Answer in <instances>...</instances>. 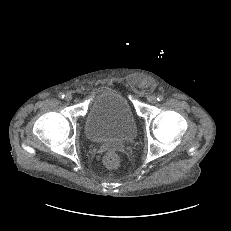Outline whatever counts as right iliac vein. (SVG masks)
<instances>
[{"label": "right iliac vein", "instance_id": "obj_1", "mask_svg": "<svg viewBox=\"0 0 231 231\" xmlns=\"http://www.w3.org/2000/svg\"><path fill=\"white\" fill-rule=\"evenodd\" d=\"M72 94L71 93H67L66 95H65V100L66 101H71L72 100Z\"/></svg>", "mask_w": 231, "mask_h": 231}]
</instances>
